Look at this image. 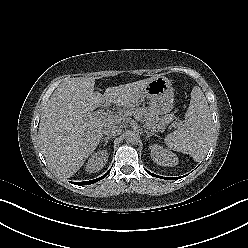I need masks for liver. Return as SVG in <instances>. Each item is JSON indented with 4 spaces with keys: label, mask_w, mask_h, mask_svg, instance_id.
Returning a JSON list of instances; mask_svg holds the SVG:
<instances>
[{
    "label": "liver",
    "mask_w": 248,
    "mask_h": 248,
    "mask_svg": "<svg viewBox=\"0 0 248 248\" xmlns=\"http://www.w3.org/2000/svg\"><path fill=\"white\" fill-rule=\"evenodd\" d=\"M152 78L109 87L104 95L94 92L92 77L62 83L44 106L39 123L42 152L50 166L65 178L73 176L96 149L103 128L118 121L117 117L103 120L93 111L105 101L130 106Z\"/></svg>",
    "instance_id": "liver-1"
}]
</instances>
